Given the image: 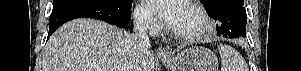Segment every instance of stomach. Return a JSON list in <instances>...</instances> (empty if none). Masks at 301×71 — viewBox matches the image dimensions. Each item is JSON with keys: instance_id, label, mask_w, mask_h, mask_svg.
<instances>
[{"instance_id": "0dacf381", "label": "stomach", "mask_w": 301, "mask_h": 71, "mask_svg": "<svg viewBox=\"0 0 301 71\" xmlns=\"http://www.w3.org/2000/svg\"><path fill=\"white\" fill-rule=\"evenodd\" d=\"M161 61L170 71H218L216 55L205 47H193Z\"/></svg>"}]
</instances>
